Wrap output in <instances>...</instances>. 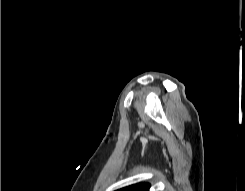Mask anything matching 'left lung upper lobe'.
<instances>
[{"label": "left lung upper lobe", "instance_id": "obj_1", "mask_svg": "<svg viewBox=\"0 0 245 191\" xmlns=\"http://www.w3.org/2000/svg\"><path fill=\"white\" fill-rule=\"evenodd\" d=\"M149 188H150L149 183H137L118 189L117 191H149Z\"/></svg>", "mask_w": 245, "mask_h": 191}]
</instances>
